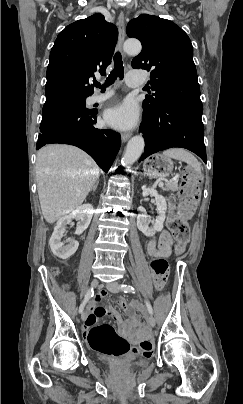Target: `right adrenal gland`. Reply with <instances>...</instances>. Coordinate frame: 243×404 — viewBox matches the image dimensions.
<instances>
[{
    "instance_id": "2a0ac1e0",
    "label": "right adrenal gland",
    "mask_w": 243,
    "mask_h": 404,
    "mask_svg": "<svg viewBox=\"0 0 243 404\" xmlns=\"http://www.w3.org/2000/svg\"><path fill=\"white\" fill-rule=\"evenodd\" d=\"M98 184H99V178H98L97 182H95L94 186H92L90 192H96Z\"/></svg>"
}]
</instances>
